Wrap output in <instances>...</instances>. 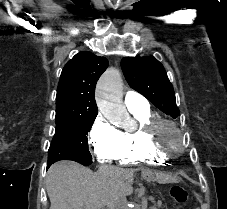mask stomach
Here are the masks:
<instances>
[{
  "label": "stomach",
  "mask_w": 227,
  "mask_h": 209,
  "mask_svg": "<svg viewBox=\"0 0 227 209\" xmlns=\"http://www.w3.org/2000/svg\"><path fill=\"white\" fill-rule=\"evenodd\" d=\"M146 178H147L148 180H154V177H153V176H146Z\"/></svg>",
  "instance_id": "stomach-1"
}]
</instances>
